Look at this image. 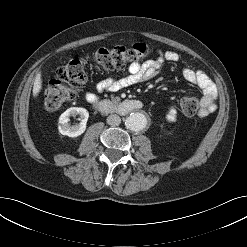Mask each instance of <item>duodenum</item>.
<instances>
[{
    "instance_id": "410a0bca",
    "label": "duodenum",
    "mask_w": 247,
    "mask_h": 247,
    "mask_svg": "<svg viewBox=\"0 0 247 247\" xmlns=\"http://www.w3.org/2000/svg\"><path fill=\"white\" fill-rule=\"evenodd\" d=\"M95 107L102 113L126 115L141 110L143 103L137 99H124L121 101L104 99L96 102Z\"/></svg>"
}]
</instances>
